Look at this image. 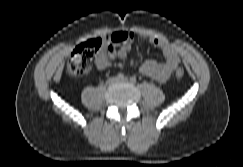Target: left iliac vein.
<instances>
[{
  "label": "left iliac vein",
  "instance_id": "left-iliac-vein-1",
  "mask_svg": "<svg viewBox=\"0 0 243 167\" xmlns=\"http://www.w3.org/2000/svg\"><path fill=\"white\" fill-rule=\"evenodd\" d=\"M117 82H128V79L127 78H124L122 80L118 79Z\"/></svg>",
  "mask_w": 243,
  "mask_h": 167
}]
</instances>
